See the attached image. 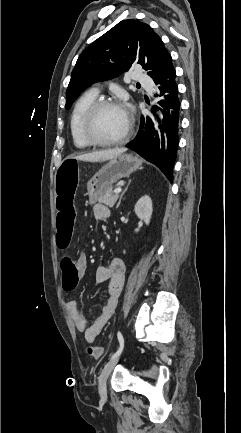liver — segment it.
<instances>
[{"label":"liver","mask_w":241,"mask_h":433,"mask_svg":"<svg viewBox=\"0 0 241 433\" xmlns=\"http://www.w3.org/2000/svg\"><path fill=\"white\" fill-rule=\"evenodd\" d=\"M125 151H126L125 148L97 151V152L76 156L74 157V159L81 160V161H88V162H101V161L113 159Z\"/></svg>","instance_id":"liver-1"}]
</instances>
